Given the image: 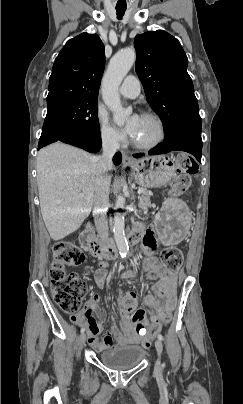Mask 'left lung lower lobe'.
<instances>
[{"label":"left lung lower lobe","instance_id":"left-lung-lower-lobe-1","mask_svg":"<svg viewBox=\"0 0 243 404\" xmlns=\"http://www.w3.org/2000/svg\"><path fill=\"white\" fill-rule=\"evenodd\" d=\"M165 141L149 151V155L165 154L170 151L188 152L201 162L202 139L201 120L186 119L173 124L165 131ZM144 154H134L135 158Z\"/></svg>","mask_w":243,"mask_h":404}]
</instances>
